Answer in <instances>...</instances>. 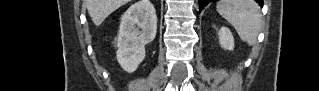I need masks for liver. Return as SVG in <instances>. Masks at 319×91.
<instances>
[{
    "mask_svg": "<svg viewBox=\"0 0 319 91\" xmlns=\"http://www.w3.org/2000/svg\"><path fill=\"white\" fill-rule=\"evenodd\" d=\"M128 2L129 0H85V6L93 23L99 26L112 12Z\"/></svg>",
    "mask_w": 319,
    "mask_h": 91,
    "instance_id": "6515ba94",
    "label": "liver"
}]
</instances>
